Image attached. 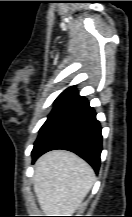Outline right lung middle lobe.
I'll return each mask as SVG.
<instances>
[{
  "label": "right lung middle lobe",
  "mask_w": 132,
  "mask_h": 217,
  "mask_svg": "<svg viewBox=\"0 0 132 217\" xmlns=\"http://www.w3.org/2000/svg\"><path fill=\"white\" fill-rule=\"evenodd\" d=\"M75 99H76L75 96L68 95V94H61V95H59L57 97V99L55 100V105H54V108H53L52 112L49 114L47 121L44 123V125L41 127V129L39 131L38 138L44 132V130L46 129V127L49 125V123L55 118V116L61 110H63L67 105H69L70 103H72Z\"/></svg>",
  "instance_id": "obj_1"
}]
</instances>
